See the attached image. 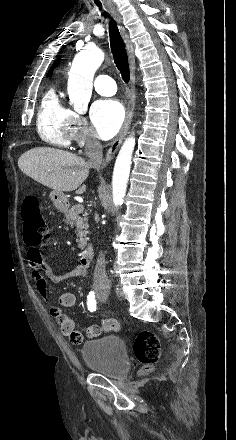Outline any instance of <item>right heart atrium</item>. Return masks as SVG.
<instances>
[{
	"label": "right heart atrium",
	"instance_id": "obj_1",
	"mask_svg": "<svg viewBox=\"0 0 236 440\" xmlns=\"http://www.w3.org/2000/svg\"><path fill=\"white\" fill-rule=\"evenodd\" d=\"M71 136L72 140L86 149H90L96 145L87 119L75 112H72L71 115Z\"/></svg>",
	"mask_w": 236,
	"mask_h": 440
}]
</instances>
